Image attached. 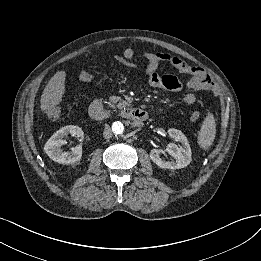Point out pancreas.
<instances>
[{
	"mask_svg": "<svg viewBox=\"0 0 261 261\" xmlns=\"http://www.w3.org/2000/svg\"><path fill=\"white\" fill-rule=\"evenodd\" d=\"M109 100L108 106L110 108H124L127 105V103L118 96H112Z\"/></svg>",
	"mask_w": 261,
	"mask_h": 261,
	"instance_id": "cf45deb5",
	"label": "pancreas"
}]
</instances>
